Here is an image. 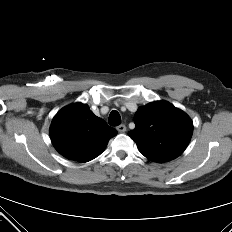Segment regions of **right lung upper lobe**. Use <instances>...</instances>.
<instances>
[{
    "label": "right lung upper lobe",
    "mask_w": 232,
    "mask_h": 232,
    "mask_svg": "<svg viewBox=\"0 0 232 232\" xmlns=\"http://www.w3.org/2000/svg\"><path fill=\"white\" fill-rule=\"evenodd\" d=\"M117 131L95 116L89 107L75 103L53 118L50 137L56 150L70 160L88 162L99 156Z\"/></svg>",
    "instance_id": "1"
}]
</instances>
